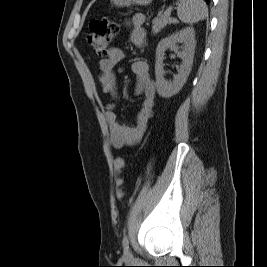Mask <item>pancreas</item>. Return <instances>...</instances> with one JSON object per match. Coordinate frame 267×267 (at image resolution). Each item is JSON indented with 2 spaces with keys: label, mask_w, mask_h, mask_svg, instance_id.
I'll return each instance as SVG.
<instances>
[{
  "label": "pancreas",
  "mask_w": 267,
  "mask_h": 267,
  "mask_svg": "<svg viewBox=\"0 0 267 267\" xmlns=\"http://www.w3.org/2000/svg\"><path fill=\"white\" fill-rule=\"evenodd\" d=\"M178 21L175 18H170L169 16L161 15L152 20V32L153 34L159 33L163 28L170 24H177Z\"/></svg>",
  "instance_id": "cf45deb5"
}]
</instances>
